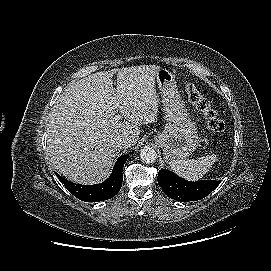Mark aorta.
Here are the masks:
<instances>
[{"label": "aorta", "instance_id": "aorta-1", "mask_svg": "<svg viewBox=\"0 0 271 271\" xmlns=\"http://www.w3.org/2000/svg\"><path fill=\"white\" fill-rule=\"evenodd\" d=\"M140 157L143 162L150 164L156 161L157 153L151 146H144L140 151Z\"/></svg>", "mask_w": 271, "mask_h": 271}]
</instances>
